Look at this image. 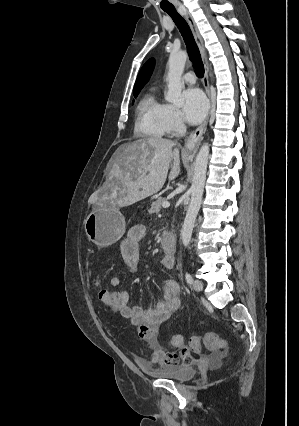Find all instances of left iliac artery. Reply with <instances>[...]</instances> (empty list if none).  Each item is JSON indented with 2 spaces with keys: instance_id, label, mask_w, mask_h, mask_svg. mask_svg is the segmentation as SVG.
<instances>
[{
  "instance_id": "44dca946",
  "label": "left iliac artery",
  "mask_w": 299,
  "mask_h": 426,
  "mask_svg": "<svg viewBox=\"0 0 299 426\" xmlns=\"http://www.w3.org/2000/svg\"><path fill=\"white\" fill-rule=\"evenodd\" d=\"M185 279H186L188 284L191 285L193 283V278L188 272L185 273Z\"/></svg>"
}]
</instances>
